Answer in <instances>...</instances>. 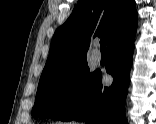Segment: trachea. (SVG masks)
Segmentation results:
<instances>
[{"mask_svg": "<svg viewBox=\"0 0 156 124\" xmlns=\"http://www.w3.org/2000/svg\"><path fill=\"white\" fill-rule=\"evenodd\" d=\"M101 50H106V40L103 38L100 40Z\"/></svg>", "mask_w": 156, "mask_h": 124, "instance_id": "3493384b", "label": "trachea"}]
</instances>
